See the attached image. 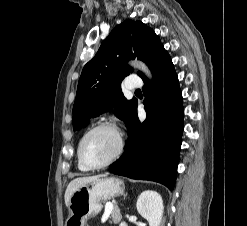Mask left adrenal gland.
<instances>
[{"label": "left adrenal gland", "instance_id": "left-adrenal-gland-1", "mask_svg": "<svg viewBox=\"0 0 247 226\" xmlns=\"http://www.w3.org/2000/svg\"><path fill=\"white\" fill-rule=\"evenodd\" d=\"M126 196H127V193H126V194H124V199L126 198Z\"/></svg>", "mask_w": 247, "mask_h": 226}]
</instances>
